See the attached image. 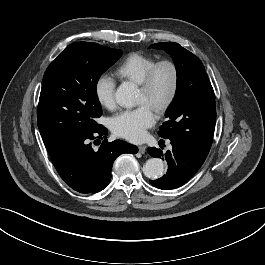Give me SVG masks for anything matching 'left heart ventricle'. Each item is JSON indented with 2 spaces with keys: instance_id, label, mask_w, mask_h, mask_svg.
<instances>
[{
  "instance_id": "b2bd125f",
  "label": "left heart ventricle",
  "mask_w": 265,
  "mask_h": 265,
  "mask_svg": "<svg viewBox=\"0 0 265 265\" xmlns=\"http://www.w3.org/2000/svg\"><path fill=\"white\" fill-rule=\"evenodd\" d=\"M172 83V73L169 67H161L154 79L153 89L150 95L144 94L139 90L138 103L146 104L154 109L168 95Z\"/></svg>"
}]
</instances>
